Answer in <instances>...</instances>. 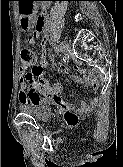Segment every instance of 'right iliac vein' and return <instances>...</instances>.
I'll return each mask as SVG.
<instances>
[{"instance_id":"right-iliac-vein-1","label":"right iliac vein","mask_w":123,"mask_h":167,"mask_svg":"<svg viewBox=\"0 0 123 167\" xmlns=\"http://www.w3.org/2000/svg\"><path fill=\"white\" fill-rule=\"evenodd\" d=\"M69 46L67 44V42L65 41H62L61 44H60V50L65 53L67 50H68Z\"/></svg>"}]
</instances>
